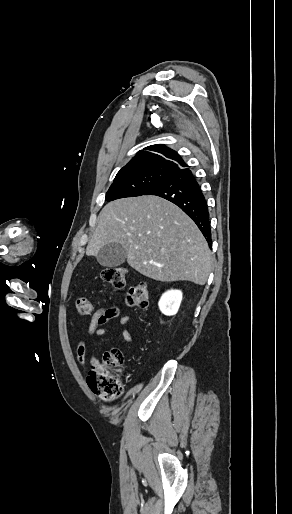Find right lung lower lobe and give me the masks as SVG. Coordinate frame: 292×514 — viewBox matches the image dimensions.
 <instances>
[{
    "label": "right lung lower lobe",
    "instance_id": "right-lung-lower-lobe-1",
    "mask_svg": "<svg viewBox=\"0 0 292 514\" xmlns=\"http://www.w3.org/2000/svg\"><path fill=\"white\" fill-rule=\"evenodd\" d=\"M143 195H156L176 204L196 223L207 242H211L207 201L191 170L170 175Z\"/></svg>",
    "mask_w": 292,
    "mask_h": 514
}]
</instances>
